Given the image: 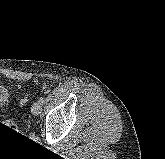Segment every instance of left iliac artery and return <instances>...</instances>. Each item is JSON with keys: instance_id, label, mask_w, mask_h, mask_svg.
Here are the masks:
<instances>
[{"instance_id": "44dca946", "label": "left iliac artery", "mask_w": 165, "mask_h": 159, "mask_svg": "<svg viewBox=\"0 0 165 159\" xmlns=\"http://www.w3.org/2000/svg\"><path fill=\"white\" fill-rule=\"evenodd\" d=\"M44 101H45L44 96H41V97L39 98V102H40L41 104H43V103H44Z\"/></svg>"}]
</instances>
